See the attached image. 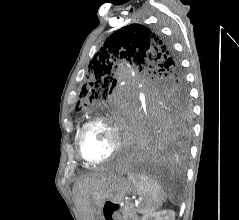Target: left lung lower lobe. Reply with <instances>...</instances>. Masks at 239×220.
Wrapping results in <instances>:
<instances>
[{"mask_svg": "<svg viewBox=\"0 0 239 220\" xmlns=\"http://www.w3.org/2000/svg\"><path fill=\"white\" fill-rule=\"evenodd\" d=\"M188 116L178 111L130 110L124 116L130 137L126 160L144 167L181 165L188 150Z\"/></svg>", "mask_w": 239, "mask_h": 220, "instance_id": "0a47b994", "label": "left lung lower lobe"}]
</instances>
